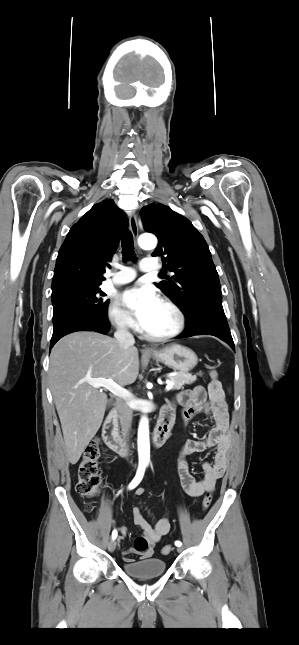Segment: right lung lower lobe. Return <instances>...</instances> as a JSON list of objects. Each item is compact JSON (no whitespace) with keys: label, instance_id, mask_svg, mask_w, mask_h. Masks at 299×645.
I'll return each mask as SVG.
<instances>
[{"label":"right lung lower lobe","instance_id":"obj_1","mask_svg":"<svg viewBox=\"0 0 299 645\" xmlns=\"http://www.w3.org/2000/svg\"><path fill=\"white\" fill-rule=\"evenodd\" d=\"M108 330H109L108 319H98L93 317L81 318L53 332L50 348H52L60 338L72 332L95 331L101 334H106Z\"/></svg>","mask_w":299,"mask_h":645}]
</instances>
